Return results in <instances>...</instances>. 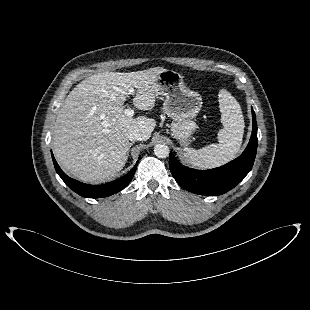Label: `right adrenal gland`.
Returning <instances> with one entry per match:
<instances>
[{
  "label": "right adrenal gland",
  "mask_w": 310,
  "mask_h": 310,
  "mask_svg": "<svg viewBox=\"0 0 310 310\" xmlns=\"http://www.w3.org/2000/svg\"><path fill=\"white\" fill-rule=\"evenodd\" d=\"M132 145H133V142L129 144V149L131 148ZM128 155H129V151H128Z\"/></svg>",
  "instance_id": "obj_1"
}]
</instances>
